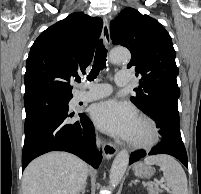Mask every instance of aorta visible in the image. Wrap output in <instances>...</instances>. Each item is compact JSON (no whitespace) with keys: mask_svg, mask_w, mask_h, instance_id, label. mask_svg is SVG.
Segmentation results:
<instances>
[{"mask_svg":"<svg viewBox=\"0 0 201 194\" xmlns=\"http://www.w3.org/2000/svg\"><path fill=\"white\" fill-rule=\"evenodd\" d=\"M110 62L113 64H128L131 60V54L128 49L123 47H116L111 50L109 56ZM129 163V154L126 150L120 151L111 166L109 175V184L111 187H115L121 181L126 168Z\"/></svg>","mask_w":201,"mask_h":194,"instance_id":"obj_1","label":"aorta"}]
</instances>
